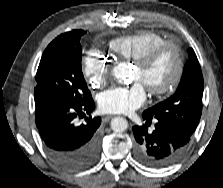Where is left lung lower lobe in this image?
Wrapping results in <instances>:
<instances>
[{"label":"left lung lower lobe","instance_id":"1","mask_svg":"<svg viewBox=\"0 0 223 188\" xmlns=\"http://www.w3.org/2000/svg\"><path fill=\"white\" fill-rule=\"evenodd\" d=\"M143 119L149 126L152 119L145 114ZM155 122L152 132L145 125L133 126L135 157L145 166L163 168L175 163L185 153L191 135L166 122L157 119Z\"/></svg>","mask_w":223,"mask_h":188}]
</instances>
